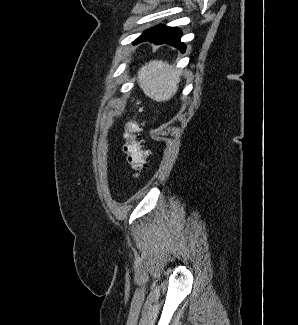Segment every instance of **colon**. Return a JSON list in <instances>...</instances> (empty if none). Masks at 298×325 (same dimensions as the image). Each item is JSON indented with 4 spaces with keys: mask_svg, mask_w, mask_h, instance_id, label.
<instances>
[{
    "mask_svg": "<svg viewBox=\"0 0 298 325\" xmlns=\"http://www.w3.org/2000/svg\"><path fill=\"white\" fill-rule=\"evenodd\" d=\"M141 126L136 120H130L124 127L122 151L133 175L137 177L147 166L148 153L139 139Z\"/></svg>",
    "mask_w": 298,
    "mask_h": 325,
    "instance_id": "obj_1",
    "label": "colon"
}]
</instances>
